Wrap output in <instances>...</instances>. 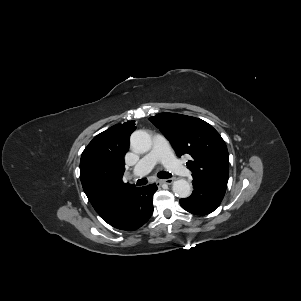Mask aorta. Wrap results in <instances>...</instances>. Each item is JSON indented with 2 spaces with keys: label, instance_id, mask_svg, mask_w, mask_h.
I'll return each instance as SVG.
<instances>
[{
  "label": "aorta",
  "instance_id": "1",
  "mask_svg": "<svg viewBox=\"0 0 301 301\" xmlns=\"http://www.w3.org/2000/svg\"><path fill=\"white\" fill-rule=\"evenodd\" d=\"M130 146L136 153H146L152 147L151 136L146 131L137 130L130 137ZM172 190L180 198H187L191 195V186L185 179L175 180Z\"/></svg>",
  "mask_w": 301,
  "mask_h": 301
}]
</instances>
